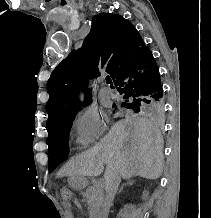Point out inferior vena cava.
Instances as JSON below:
<instances>
[{
    "label": "inferior vena cava",
    "mask_w": 211,
    "mask_h": 218,
    "mask_svg": "<svg viewBox=\"0 0 211 218\" xmlns=\"http://www.w3.org/2000/svg\"><path fill=\"white\" fill-rule=\"evenodd\" d=\"M120 184L119 174L114 172H106L105 174V200L103 204L104 212H108L118 190Z\"/></svg>",
    "instance_id": "inferior-vena-cava-1"
}]
</instances>
